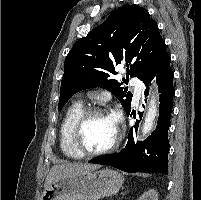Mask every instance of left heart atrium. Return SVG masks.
<instances>
[{"label": "left heart atrium", "instance_id": "left-heart-atrium-1", "mask_svg": "<svg viewBox=\"0 0 201 200\" xmlns=\"http://www.w3.org/2000/svg\"><path fill=\"white\" fill-rule=\"evenodd\" d=\"M111 118H112L113 121L115 122L116 127H117V129H118L119 115H118V114H112V115H111Z\"/></svg>", "mask_w": 201, "mask_h": 200}]
</instances>
